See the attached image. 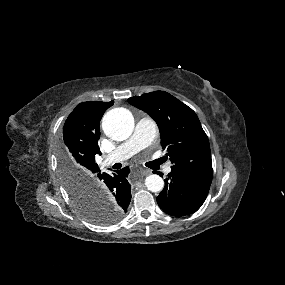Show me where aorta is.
Returning <instances> with one entry per match:
<instances>
[{
	"instance_id": "aorta-1",
	"label": "aorta",
	"mask_w": 285,
	"mask_h": 285,
	"mask_svg": "<svg viewBox=\"0 0 285 285\" xmlns=\"http://www.w3.org/2000/svg\"><path fill=\"white\" fill-rule=\"evenodd\" d=\"M104 133L113 140L123 141L129 138L134 128V118L125 108H115L107 112L102 121ZM145 186L151 192H160L164 188L163 179L151 174L145 179Z\"/></svg>"
}]
</instances>
